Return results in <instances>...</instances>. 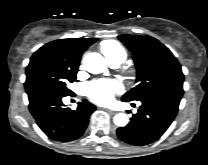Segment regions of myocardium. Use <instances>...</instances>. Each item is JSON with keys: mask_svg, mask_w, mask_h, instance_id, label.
I'll return each mask as SVG.
<instances>
[{"mask_svg": "<svg viewBox=\"0 0 208 165\" xmlns=\"http://www.w3.org/2000/svg\"><path fill=\"white\" fill-rule=\"evenodd\" d=\"M128 73H129V75H133L134 74V70L133 69H129Z\"/></svg>", "mask_w": 208, "mask_h": 165, "instance_id": "1", "label": "myocardium"}]
</instances>
